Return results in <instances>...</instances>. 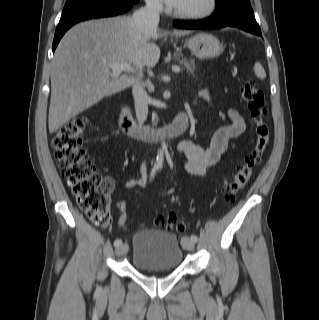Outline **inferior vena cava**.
<instances>
[{"label": "inferior vena cava", "mask_w": 319, "mask_h": 320, "mask_svg": "<svg viewBox=\"0 0 319 320\" xmlns=\"http://www.w3.org/2000/svg\"><path fill=\"white\" fill-rule=\"evenodd\" d=\"M162 4L156 0H146V6L133 13V21L140 30L154 31L158 27ZM132 94L135 102L136 117L139 123L147 119L149 96L138 79L134 80Z\"/></svg>", "instance_id": "602c4592"}]
</instances>
